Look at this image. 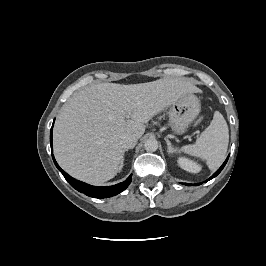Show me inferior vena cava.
<instances>
[{
    "mask_svg": "<svg viewBox=\"0 0 266 266\" xmlns=\"http://www.w3.org/2000/svg\"><path fill=\"white\" fill-rule=\"evenodd\" d=\"M137 139V136L134 134H125L122 137L121 145L125 150L131 149L135 146Z\"/></svg>",
    "mask_w": 266,
    "mask_h": 266,
    "instance_id": "inferior-vena-cava-1",
    "label": "inferior vena cava"
}]
</instances>
